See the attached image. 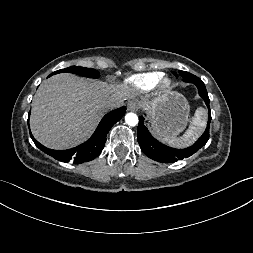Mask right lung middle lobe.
Returning <instances> with one entry per match:
<instances>
[{
  "mask_svg": "<svg viewBox=\"0 0 253 253\" xmlns=\"http://www.w3.org/2000/svg\"><path fill=\"white\" fill-rule=\"evenodd\" d=\"M61 72L75 73V74L89 77V78H98L100 76L97 70H94L91 68L78 67V66H71L65 69H61L52 73L51 75L56 74V73H61Z\"/></svg>",
  "mask_w": 253,
  "mask_h": 253,
  "instance_id": "dd1d6c3e",
  "label": "right lung middle lobe"
}]
</instances>
